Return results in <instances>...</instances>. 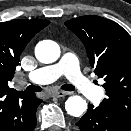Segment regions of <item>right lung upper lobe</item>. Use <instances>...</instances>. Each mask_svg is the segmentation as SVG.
Instances as JSON below:
<instances>
[{"mask_svg": "<svg viewBox=\"0 0 131 131\" xmlns=\"http://www.w3.org/2000/svg\"><path fill=\"white\" fill-rule=\"evenodd\" d=\"M49 23L27 19L0 23V93L14 90L9 88L8 81L14 76L21 53L33 36Z\"/></svg>", "mask_w": 131, "mask_h": 131, "instance_id": "1", "label": "right lung upper lobe"}]
</instances>
